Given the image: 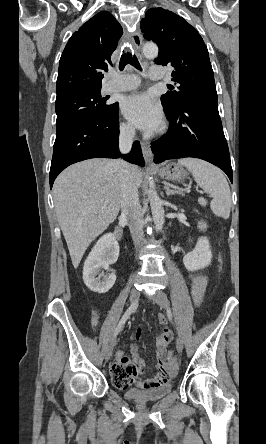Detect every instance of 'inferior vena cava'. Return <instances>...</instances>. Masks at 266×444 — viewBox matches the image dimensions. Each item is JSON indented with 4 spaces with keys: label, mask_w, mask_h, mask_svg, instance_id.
I'll list each match as a JSON object with an SVG mask.
<instances>
[{
    "label": "inferior vena cava",
    "mask_w": 266,
    "mask_h": 444,
    "mask_svg": "<svg viewBox=\"0 0 266 444\" xmlns=\"http://www.w3.org/2000/svg\"><path fill=\"white\" fill-rule=\"evenodd\" d=\"M135 137V129L130 126L122 127L119 135V149L122 154L130 152ZM122 176L121 218L128 223L136 248L144 243L143 215L138 197V187L132 175L131 166L124 160H117Z\"/></svg>",
    "instance_id": "602c4592"
}]
</instances>
